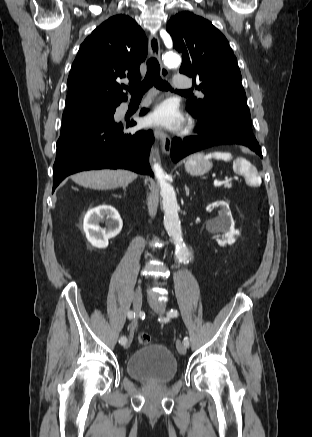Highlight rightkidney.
Masks as SVG:
<instances>
[{"label":"right kidney","mask_w":312,"mask_h":437,"mask_svg":"<svg viewBox=\"0 0 312 437\" xmlns=\"http://www.w3.org/2000/svg\"><path fill=\"white\" fill-rule=\"evenodd\" d=\"M105 223L101 228L99 223ZM123 226L118 211L110 205H100L89 210L83 222V230L87 240L97 248H106L108 240L120 233Z\"/></svg>","instance_id":"ca27d5eb"}]
</instances>
